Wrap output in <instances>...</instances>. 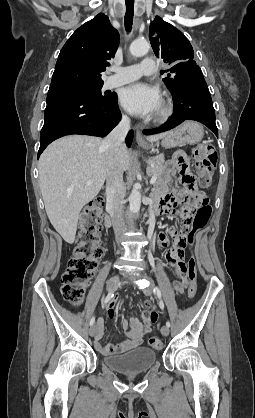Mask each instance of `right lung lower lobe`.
I'll use <instances>...</instances> for the list:
<instances>
[{"label":"right lung lower lobe","mask_w":255,"mask_h":418,"mask_svg":"<svg viewBox=\"0 0 255 418\" xmlns=\"http://www.w3.org/2000/svg\"><path fill=\"white\" fill-rule=\"evenodd\" d=\"M120 119L116 94L101 99L79 92L48 93L38 158L52 141L62 136L81 134L104 137ZM132 139L131 130L125 140L128 147Z\"/></svg>","instance_id":"right-lung-lower-lobe-1"}]
</instances>
